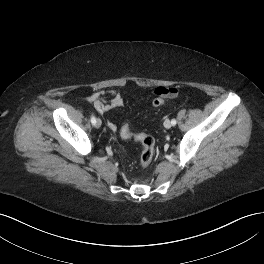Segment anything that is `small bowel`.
<instances>
[{"label": "small bowel", "mask_w": 264, "mask_h": 264, "mask_svg": "<svg viewBox=\"0 0 264 264\" xmlns=\"http://www.w3.org/2000/svg\"><path fill=\"white\" fill-rule=\"evenodd\" d=\"M179 93L177 87H158L153 91L156 98L173 99ZM86 100L93 104L95 110L99 114H104L110 109L121 107L124 104V95L121 91H97L86 98ZM108 127L115 131L117 126L112 121L108 122Z\"/></svg>", "instance_id": "1"}]
</instances>
